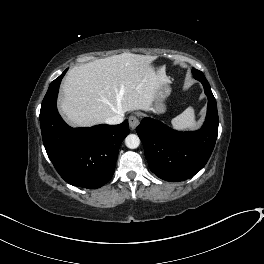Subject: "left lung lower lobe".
<instances>
[{
	"label": "left lung lower lobe",
	"mask_w": 264,
	"mask_h": 264,
	"mask_svg": "<svg viewBox=\"0 0 264 264\" xmlns=\"http://www.w3.org/2000/svg\"><path fill=\"white\" fill-rule=\"evenodd\" d=\"M194 78L203 84L208 97L207 116L200 130L179 132L150 118L142 119L136 129L150 170L166 181H183L199 172L211 156L217 139L216 100L205 76Z\"/></svg>",
	"instance_id": "obj_1"
}]
</instances>
